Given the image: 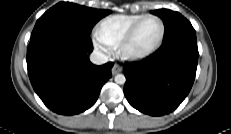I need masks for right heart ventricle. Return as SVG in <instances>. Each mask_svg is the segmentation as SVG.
Returning a JSON list of instances; mask_svg holds the SVG:
<instances>
[{"mask_svg": "<svg viewBox=\"0 0 231 134\" xmlns=\"http://www.w3.org/2000/svg\"><path fill=\"white\" fill-rule=\"evenodd\" d=\"M145 14H116L102 19L96 26L97 38L109 48H117L130 28Z\"/></svg>", "mask_w": 231, "mask_h": 134, "instance_id": "right-heart-ventricle-1", "label": "right heart ventricle"}]
</instances>
